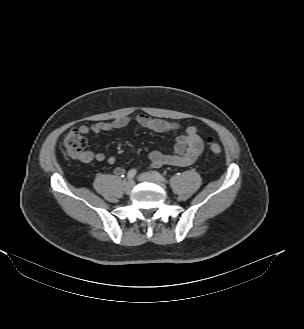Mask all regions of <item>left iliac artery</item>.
Segmentation results:
<instances>
[{
  "label": "left iliac artery",
  "instance_id": "1",
  "mask_svg": "<svg viewBox=\"0 0 304 329\" xmlns=\"http://www.w3.org/2000/svg\"><path fill=\"white\" fill-rule=\"evenodd\" d=\"M153 175H154L159 181H161V182H163V183H165V184L168 183L167 179H166L164 176H162L159 172L154 171V172H153Z\"/></svg>",
  "mask_w": 304,
  "mask_h": 329
}]
</instances>
